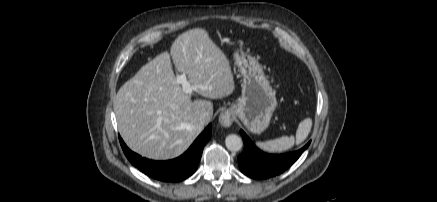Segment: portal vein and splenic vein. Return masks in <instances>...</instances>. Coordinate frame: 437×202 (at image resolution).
I'll list each match as a JSON object with an SVG mask.
<instances>
[{
  "instance_id": "obj_1",
  "label": "portal vein and splenic vein",
  "mask_w": 437,
  "mask_h": 202,
  "mask_svg": "<svg viewBox=\"0 0 437 202\" xmlns=\"http://www.w3.org/2000/svg\"><path fill=\"white\" fill-rule=\"evenodd\" d=\"M175 81H176V83H178V84H180V85L182 86L183 91H184L186 94H190V93H192L193 90H195V87L192 86V85L188 82L187 77H186L185 74L178 75V76L176 77V80H175Z\"/></svg>"
}]
</instances>
